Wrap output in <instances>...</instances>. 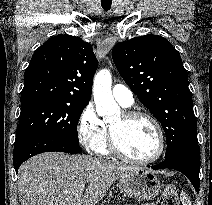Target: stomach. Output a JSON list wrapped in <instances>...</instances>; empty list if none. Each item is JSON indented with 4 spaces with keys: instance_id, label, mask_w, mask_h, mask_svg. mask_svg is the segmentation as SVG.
<instances>
[{
    "instance_id": "0dacf381",
    "label": "stomach",
    "mask_w": 212,
    "mask_h": 205,
    "mask_svg": "<svg viewBox=\"0 0 212 205\" xmlns=\"http://www.w3.org/2000/svg\"><path fill=\"white\" fill-rule=\"evenodd\" d=\"M117 186L123 196L138 201L153 200L161 191V182L157 175L143 168L125 172Z\"/></svg>"
}]
</instances>
